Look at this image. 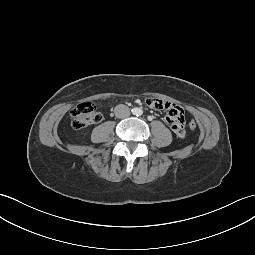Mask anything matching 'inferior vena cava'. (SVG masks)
I'll return each mask as SVG.
<instances>
[{"instance_id": "1", "label": "inferior vena cava", "mask_w": 255, "mask_h": 255, "mask_svg": "<svg viewBox=\"0 0 255 255\" xmlns=\"http://www.w3.org/2000/svg\"><path fill=\"white\" fill-rule=\"evenodd\" d=\"M114 113L117 118H125L130 115V109L126 105L119 104L115 107Z\"/></svg>"}]
</instances>
